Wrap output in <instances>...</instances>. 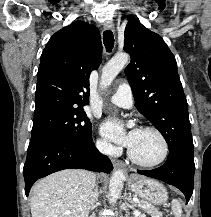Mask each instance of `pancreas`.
Listing matches in <instances>:
<instances>
[{
  "label": "pancreas",
  "instance_id": "obj_1",
  "mask_svg": "<svg viewBox=\"0 0 211 217\" xmlns=\"http://www.w3.org/2000/svg\"><path fill=\"white\" fill-rule=\"evenodd\" d=\"M136 206L143 209L146 213L150 214L152 217H162L163 213L158 211L157 208L149 204L148 202L144 200H139L136 202Z\"/></svg>",
  "mask_w": 211,
  "mask_h": 217
}]
</instances>
